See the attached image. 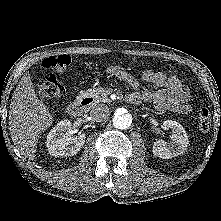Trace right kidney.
<instances>
[{
	"label": "right kidney",
	"instance_id": "ca27d5eb",
	"mask_svg": "<svg viewBox=\"0 0 221 221\" xmlns=\"http://www.w3.org/2000/svg\"><path fill=\"white\" fill-rule=\"evenodd\" d=\"M70 120H62L55 125L47 135L46 146L52 156H73L84 146L86 136H71Z\"/></svg>",
	"mask_w": 221,
	"mask_h": 221
}]
</instances>
